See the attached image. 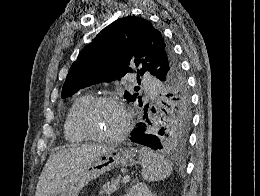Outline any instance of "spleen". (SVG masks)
<instances>
[{
  "label": "spleen",
  "instance_id": "1",
  "mask_svg": "<svg viewBox=\"0 0 260 196\" xmlns=\"http://www.w3.org/2000/svg\"><path fill=\"white\" fill-rule=\"evenodd\" d=\"M139 164L142 166V178L146 182H159L169 178L173 168L171 162L150 148H141Z\"/></svg>",
  "mask_w": 260,
  "mask_h": 196
}]
</instances>
